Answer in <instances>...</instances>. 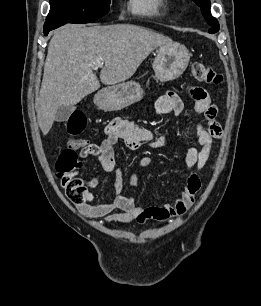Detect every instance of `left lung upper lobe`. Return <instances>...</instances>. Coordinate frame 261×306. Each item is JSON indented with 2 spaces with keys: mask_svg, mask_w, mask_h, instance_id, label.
Segmentation results:
<instances>
[{
  "mask_svg": "<svg viewBox=\"0 0 261 306\" xmlns=\"http://www.w3.org/2000/svg\"><path fill=\"white\" fill-rule=\"evenodd\" d=\"M198 6L201 7L202 14L208 24L211 26L209 33L214 34L219 30V23L216 18L211 15L209 0H194Z\"/></svg>",
  "mask_w": 261,
  "mask_h": 306,
  "instance_id": "left-lung-upper-lobe-1",
  "label": "left lung upper lobe"
}]
</instances>
